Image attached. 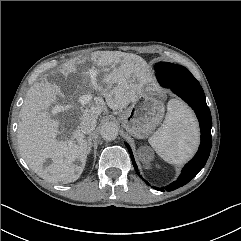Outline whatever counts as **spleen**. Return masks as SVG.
<instances>
[{
	"label": "spleen",
	"mask_w": 241,
	"mask_h": 241,
	"mask_svg": "<svg viewBox=\"0 0 241 241\" xmlns=\"http://www.w3.org/2000/svg\"><path fill=\"white\" fill-rule=\"evenodd\" d=\"M149 143L165 161L180 164L190 159L199 144V128L190 108L178 99H171L161 127Z\"/></svg>",
	"instance_id": "spleen-1"
}]
</instances>
